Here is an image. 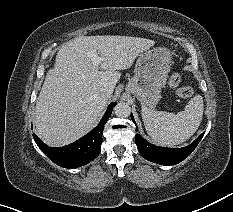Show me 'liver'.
Masks as SVG:
<instances>
[{"label":"liver","instance_id":"obj_1","mask_svg":"<svg viewBox=\"0 0 233 212\" xmlns=\"http://www.w3.org/2000/svg\"><path fill=\"white\" fill-rule=\"evenodd\" d=\"M155 41L130 36H79L65 43L48 70L35 108L36 134L47 145L60 147L92 129L108 99L102 88L112 91L135 58ZM91 50L105 58L93 65Z\"/></svg>","mask_w":233,"mask_h":212}]
</instances>
